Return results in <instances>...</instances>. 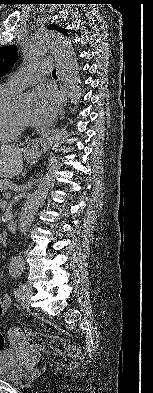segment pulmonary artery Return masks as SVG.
<instances>
[{
    "instance_id": "1",
    "label": "pulmonary artery",
    "mask_w": 153,
    "mask_h": 393,
    "mask_svg": "<svg viewBox=\"0 0 153 393\" xmlns=\"http://www.w3.org/2000/svg\"><path fill=\"white\" fill-rule=\"evenodd\" d=\"M51 68L52 63L49 61L41 60L34 62L22 69L20 73L9 77L5 86L15 92L20 91L34 84L43 74L48 73Z\"/></svg>"
}]
</instances>
